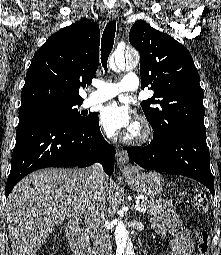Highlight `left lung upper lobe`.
<instances>
[{
  "instance_id": "left-lung-upper-lobe-1",
  "label": "left lung upper lobe",
  "mask_w": 221,
  "mask_h": 255,
  "mask_svg": "<svg viewBox=\"0 0 221 255\" xmlns=\"http://www.w3.org/2000/svg\"><path fill=\"white\" fill-rule=\"evenodd\" d=\"M129 41L140 52L142 88L154 90L151 98L141 102L154 134L182 127L205 132L203 90L189 51L142 20L132 26Z\"/></svg>"
}]
</instances>
